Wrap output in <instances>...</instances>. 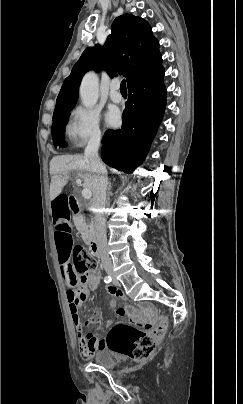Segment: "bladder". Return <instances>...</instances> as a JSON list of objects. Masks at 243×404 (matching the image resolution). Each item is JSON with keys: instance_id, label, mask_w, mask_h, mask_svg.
<instances>
[{"instance_id": "31cf9c89", "label": "bladder", "mask_w": 243, "mask_h": 404, "mask_svg": "<svg viewBox=\"0 0 243 404\" xmlns=\"http://www.w3.org/2000/svg\"><path fill=\"white\" fill-rule=\"evenodd\" d=\"M94 363L105 369H113L117 366V361L111 351L102 349L93 357Z\"/></svg>"}]
</instances>
